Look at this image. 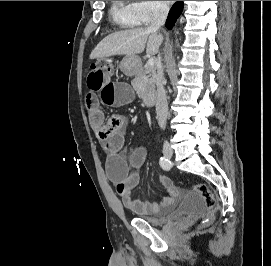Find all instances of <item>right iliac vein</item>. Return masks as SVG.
Listing matches in <instances>:
<instances>
[{
  "label": "right iliac vein",
  "instance_id": "1",
  "mask_svg": "<svg viewBox=\"0 0 271 266\" xmlns=\"http://www.w3.org/2000/svg\"><path fill=\"white\" fill-rule=\"evenodd\" d=\"M163 154L169 159L173 156V149L169 143H164Z\"/></svg>",
  "mask_w": 271,
  "mask_h": 266
}]
</instances>
